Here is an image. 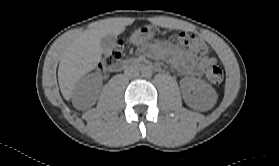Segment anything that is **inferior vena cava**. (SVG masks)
I'll list each match as a JSON object with an SVG mask.
<instances>
[{
	"label": "inferior vena cava",
	"instance_id": "obj_1",
	"mask_svg": "<svg viewBox=\"0 0 279 166\" xmlns=\"http://www.w3.org/2000/svg\"><path fill=\"white\" fill-rule=\"evenodd\" d=\"M125 75L129 78H135L139 75V72L135 69L125 70Z\"/></svg>",
	"mask_w": 279,
	"mask_h": 166
}]
</instances>
